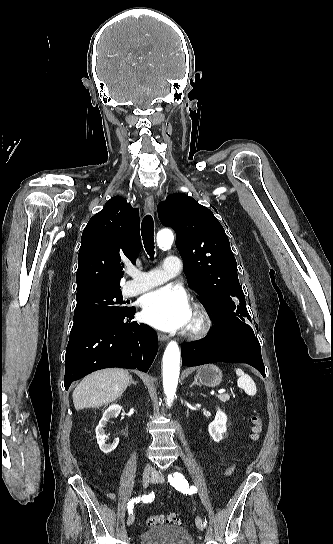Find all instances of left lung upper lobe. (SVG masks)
<instances>
[{
	"label": "left lung upper lobe",
	"mask_w": 333,
	"mask_h": 544,
	"mask_svg": "<svg viewBox=\"0 0 333 544\" xmlns=\"http://www.w3.org/2000/svg\"><path fill=\"white\" fill-rule=\"evenodd\" d=\"M158 215L175 230L188 285L205 301L215 324L251 321L228 237L212 211L177 193L158 205Z\"/></svg>",
	"instance_id": "obj_1"
}]
</instances>
